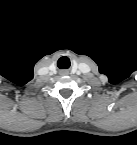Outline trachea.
<instances>
[{"label":"trachea","mask_w":137,"mask_h":145,"mask_svg":"<svg viewBox=\"0 0 137 145\" xmlns=\"http://www.w3.org/2000/svg\"><path fill=\"white\" fill-rule=\"evenodd\" d=\"M60 60H69V59L67 57H62V58H60Z\"/></svg>","instance_id":"trachea-1"}]
</instances>
